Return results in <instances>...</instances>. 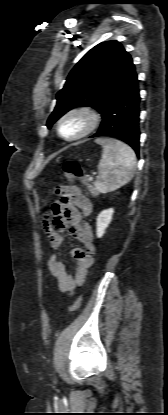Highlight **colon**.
<instances>
[{"mask_svg": "<svg viewBox=\"0 0 168 415\" xmlns=\"http://www.w3.org/2000/svg\"><path fill=\"white\" fill-rule=\"evenodd\" d=\"M64 178L67 181H72L74 179L81 180V185L83 189H87L88 192H91V195H94L95 198L100 190L94 186L93 182L89 177H86L83 168L76 161H67L63 165ZM53 217V215H52ZM55 225V224H54ZM56 226V225H55ZM82 304V296H78L75 301L68 307L69 312H74L80 308Z\"/></svg>", "mask_w": 168, "mask_h": 415, "instance_id": "1", "label": "colon"}]
</instances>
